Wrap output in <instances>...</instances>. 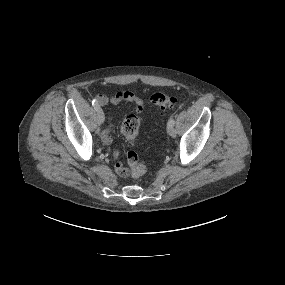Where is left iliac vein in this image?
Wrapping results in <instances>:
<instances>
[{"instance_id": "4c4485c4", "label": "left iliac vein", "mask_w": 285, "mask_h": 285, "mask_svg": "<svg viewBox=\"0 0 285 285\" xmlns=\"http://www.w3.org/2000/svg\"><path fill=\"white\" fill-rule=\"evenodd\" d=\"M167 131H168V134H169L171 137H175L176 134H177V131H176V129L174 128L173 125H168Z\"/></svg>"}]
</instances>
